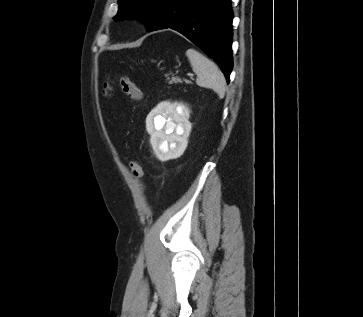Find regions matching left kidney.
Wrapping results in <instances>:
<instances>
[{"label":"left kidney","instance_id":"left-kidney-1","mask_svg":"<svg viewBox=\"0 0 363 317\" xmlns=\"http://www.w3.org/2000/svg\"><path fill=\"white\" fill-rule=\"evenodd\" d=\"M146 126L150 143L161 161L176 159L186 150L191 124L183 107L161 102L147 117Z\"/></svg>","mask_w":363,"mask_h":317}]
</instances>
